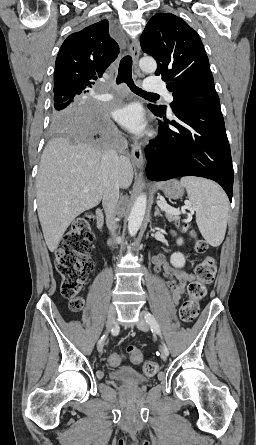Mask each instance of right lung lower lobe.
I'll return each mask as SVG.
<instances>
[{"label": "right lung lower lobe", "mask_w": 256, "mask_h": 445, "mask_svg": "<svg viewBox=\"0 0 256 445\" xmlns=\"http://www.w3.org/2000/svg\"><path fill=\"white\" fill-rule=\"evenodd\" d=\"M73 125L80 126V136L95 139L104 148L124 152L125 141L120 137L116 127L104 106L94 101H87L76 111Z\"/></svg>", "instance_id": "1"}]
</instances>
